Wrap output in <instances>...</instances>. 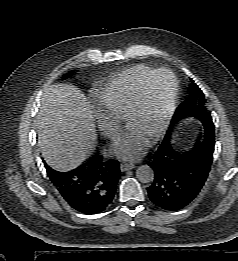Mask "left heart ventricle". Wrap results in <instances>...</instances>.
Instances as JSON below:
<instances>
[{"label":"left heart ventricle","mask_w":238,"mask_h":261,"mask_svg":"<svg viewBox=\"0 0 238 261\" xmlns=\"http://www.w3.org/2000/svg\"><path fill=\"white\" fill-rule=\"evenodd\" d=\"M174 88L173 78L163 73L153 78L146 88L141 110L129 121L131 125L151 134L163 118Z\"/></svg>","instance_id":"left-heart-ventricle-1"}]
</instances>
